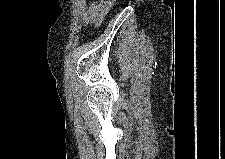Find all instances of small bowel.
Instances as JSON below:
<instances>
[{
  "instance_id": "1",
  "label": "small bowel",
  "mask_w": 225,
  "mask_h": 159,
  "mask_svg": "<svg viewBox=\"0 0 225 159\" xmlns=\"http://www.w3.org/2000/svg\"><path fill=\"white\" fill-rule=\"evenodd\" d=\"M111 2V0H99L87 5L85 0H80L77 2L78 14L86 23H99L104 18Z\"/></svg>"
}]
</instances>
